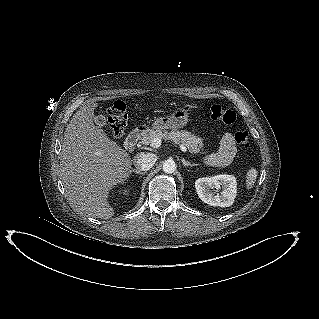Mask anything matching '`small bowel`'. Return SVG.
<instances>
[{
	"instance_id": "small-bowel-1",
	"label": "small bowel",
	"mask_w": 319,
	"mask_h": 319,
	"mask_svg": "<svg viewBox=\"0 0 319 319\" xmlns=\"http://www.w3.org/2000/svg\"><path fill=\"white\" fill-rule=\"evenodd\" d=\"M236 152L237 148L233 135L226 133L220 141L218 150L208 154L205 157V162L210 166H226L232 162Z\"/></svg>"
}]
</instances>
